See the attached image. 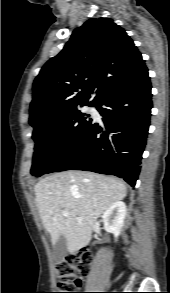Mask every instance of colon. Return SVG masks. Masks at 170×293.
Returning <instances> with one entry per match:
<instances>
[{
    "instance_id": "colon-1",
    "label": "colon",
    "mask_w": 170,
    "mask_h": 293,
    "mask_svg": "<svg viewBox=\"0 0 170 293\" xmlns=\"http://www.w3.org/2000/svg\"><path fill=\"white\" fill-rule=\"evenodd\" d=\"M91 255L82 252L76 256H71L67 260L56 264V276L59 280V290L57 293H79L74 292L81 286V278L88 275Z\"/></svg>"
}]
</instances>
